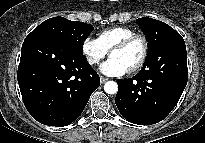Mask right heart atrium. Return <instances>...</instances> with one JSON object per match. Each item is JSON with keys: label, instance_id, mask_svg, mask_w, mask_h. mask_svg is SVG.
I'll list each match as a JSON object with an SVG mask.
<instances>
[{"label": "right heart atrium", "instance_id": "d8ad5b80", "mask_svg": "<svg viewBox=\"0 0 205 143\" xmlns=\"http://www.w3.org/2000/svg\"><path fill=\"white\" fill-rule=\"evenodd\" d=\"M82 53L89 64L96 65L108 54V50L97 38L88 36L82 43Z\"/></svg>", "mask_w": 205, "mask_h": 143}]
</instances>
